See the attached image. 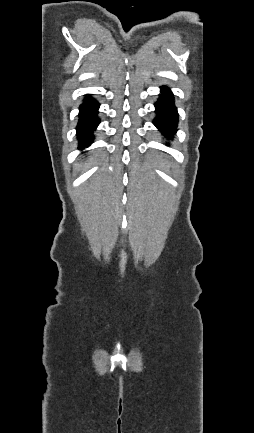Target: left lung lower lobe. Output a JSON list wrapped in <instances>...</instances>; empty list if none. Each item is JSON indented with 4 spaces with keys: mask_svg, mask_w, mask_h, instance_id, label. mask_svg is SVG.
I'll list each match as a JSON object with an SVG mask.
<instances>
[{
    "mask_svg": "<svg viewBox=\"0 0 254 433\" xmlns=\"http://www.w3.org/2000/svg\"><path fill=\"white\" fill-rule=\"evenodd\" d=\"M155 107L157 117L154 124L165 137H170L177 131L178 113L174 105L173 94L167 87L161 88V95Z\"/></svg>",
    "mask_w": 254,
    "mask_h": 433,
    "instance_id": "left-lung-lower-lobe-1",
    "label": "left lung lower lobe"
}]
</instances>
